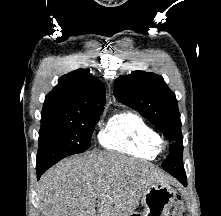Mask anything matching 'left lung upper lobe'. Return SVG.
I'll return each mask as SVG.
<instances>
[{
	"instance_id": "obj_1",
	"label": "left lung upper lobe",
	"mask_w": 221,
	"mask_h": 216,
	"mask_svg": "<svg viewBox=\"0 0 221 216\" xmlns=\"http://www.w3.org/2000/svg\"><path fill=\"white\" fill-rule=\"evenodd\" d=\"M114 95L121 103L137 110L173 142L162 166L171 175L178 174L183 165L180 114L175 94L163 77L134 71L115 81Z\"/></svg>"
}]
</instances>
